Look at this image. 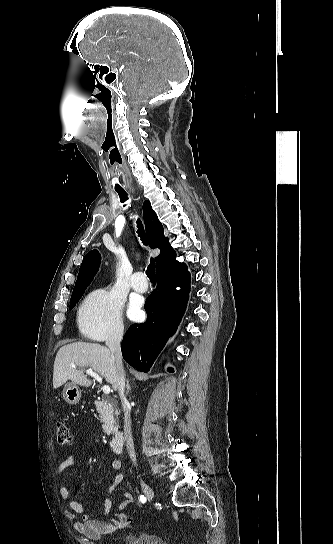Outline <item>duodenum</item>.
<instances>
[{
    "label": "duodenum",
    "instance_id": "410a0bca",
    "mask_svg": "<svg viewBox=\"0 0 333 544\" xmlns=\"http://www.w3.org/2000/svg\"><path fill=\"white\" fill-rule=\"evenodd\" d=\"M110 447L112 452L120 454L124 447V435L121 431H117L110 440Z\"/></svg>",
    "mask_w": 333,
    "mask_h": 544
}]
</instances>
